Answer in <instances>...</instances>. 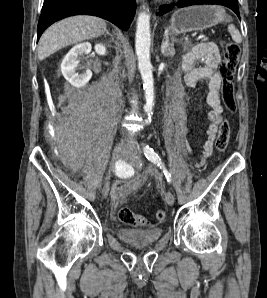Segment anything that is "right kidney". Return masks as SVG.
I'll list each match as a JSON object with an SVG mask.
<instances>
[{"label":"right kidney","instance_id":"obj_1","mask_svg":"<svg viewBox=\"0 0 267 298\" xmlns=\"http://www.w3.org/2000/svg\"><path fill=\"white\" fill-rule=\"evenodd\" d=\"M92 46L89 42H84L75 45L66 54L61 63V72L65 79L74 87H83L92 77L91 70L87 69L83 74L76 73V69L80 62L79 57L84 54H89L91 52ZM95 52L98 55H105L106 48L103 44L97 43L95 45Z\"/></svg>","mask_w":267,"mask_h":298}]
</instances>
